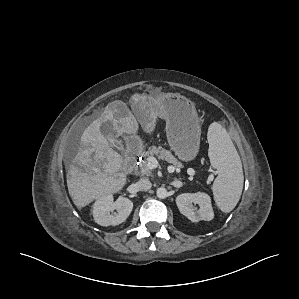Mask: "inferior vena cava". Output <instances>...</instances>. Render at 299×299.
<instances>
[{
  "instance_id": "602c4592",
  "label": "inferior vena cava",
  "mask_w": 299,
  "mask_h": 299,
  "mask_svg": "<svg viewBox=\"0 0 299 299\" xmlns=\"http://www.w3.org/2000/svg\"><path fill=\"white\" fill-rule=\"evenodd\" d=\"M136 184L140 191H148L152 187L150 180L147 178H141Z\"/></svg>"
}]
</instances>
